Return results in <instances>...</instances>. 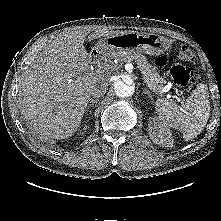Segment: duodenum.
<instances>
[{"label":"duodenum","instance_id":"1","mask_svg":"<svg viewBox=\"0 0 221 221\" xmlns=\"http://www.w3.org/2000/svg\"><path fill=\"white\" fill-rule=\"evenodd\" d=\"M101 53L98 51H93L90 53L89 59L91 62H97L100 59Z\"/></svg>","mask_w":221,"mask_h":221}]
</instances>
